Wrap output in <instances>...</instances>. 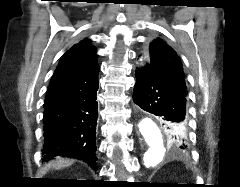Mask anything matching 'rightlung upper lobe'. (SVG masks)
Masks as SVG:
<instances>
[{
  "label": "right lung upper lobe",
  "instance_id": "1",
  "mask_svg": "<svg viewBox=\"0 0 240 187\" xmlns=\"http://www.w3.org/2000/svg\"><path fill=\"white\" fill-rule=\"evenodd\" d=\"M97 67L99 66L96 62V50L91 45V40L86 38L64 54L51 78L49 87Z\"/></svg>",
  "mask_w": 240,
  "mask_h": 187
}]
</instances>
